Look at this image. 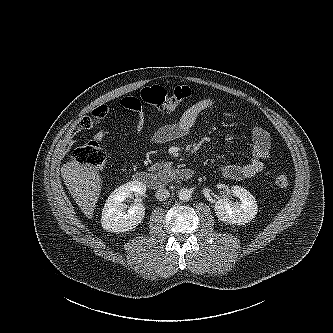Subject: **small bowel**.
Returning <instances> with one entry per match:
<instances>
[{"label":"small bowel","instance_id":"obj_1","mask_svg":"<svg viewBox=\"0 0 333 333\" xmlns=\"http://www.w3.org/2000/svg\"><path fill=\"white\" fill-rule=\"evenodd\" d=\"M120 105L137 115L134 128L140 130L144 124L141 100L137 97H126L120 101ZM216 107L217 100L215 98L206 97L198 100L189 106L177 121L159 124L151 133L150 142L163 144L187 135L203 112L213 110ZM108 113L109 107L105 104L94 108L90 115L85 116L79 124L68 131L64 139V146L70 148L84 130L93 128L97 123L105 119ZM221 115L227 118L235 117L234 113L225 110L221 111ZM106 135L107 131L101 129L95 133L94 139L100 142L106 138ZM251 139L253 142L251 159L242 164H227L223 166L221 172L224 177L231 180H241L253 177L263 170L265 160L269 157L271 151L270 135L264 128L255 126L251 130Z\"/></svg>","mask_w":333,"mask_h":333}]
</instances>
